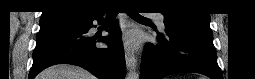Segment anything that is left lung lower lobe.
I'll return each instance as SVG.
<instances>
[{"label": "left lung lower lobe", "instance_id": "1", "mask_svg": "<svg viewBox=\"0 0 255 79\" xmlns=\"http://www.w3.org/2000/svg\"><path fill=\"white\" fill-rule=\"evenodd\" d=\"M157 45L145 47L140 79H162L180 72H196L222 79L210 28L179 27L158 34Z\"/></svg>", "mask_w": 255, "mask_h": 79}]
</instances>
